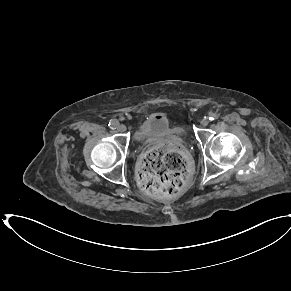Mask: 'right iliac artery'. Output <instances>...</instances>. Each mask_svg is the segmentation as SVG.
I'll use <instances>...</instances> for the list:
<instances>
[{"label": "right iliac artery", "instance_id": "1", "mask_svg": "<svg viewBox=\"0 0 291 291\" xmlns=\"http://www.w3.org/2000/svg\"><path fill=\"white\" fill-rule=\"evenodd\" d=\"M118 125H119V122H118V120H110V122H109V124H108V126L111 128V129H116L117 127H118Z\"/></svg>", "mask_w": 291, "mask_h": 291}]
</instances>
